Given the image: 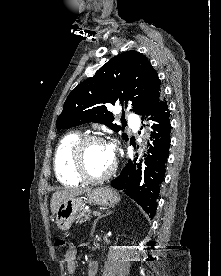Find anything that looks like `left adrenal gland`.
Wrapping results in <instances>:
<instances>
[{
    "label": "left adrenal gland",
    "mask_w": 221,
    "mask_h": 276,
    "mask_svg": "<svg viewBox=\"0 0 221 276\" xmlns=\"http://www.w3.org/2000/svg\"><path fill=\"white\" fill-rule=\"evenodd\" d=\"M111 213H112V211H107V213H106L105 215L99 216V217L94 221L93 229H92V232H91L92 234H93V232H94V230H95L97 221H98L100 218H102V217H105V216H107V215H110Z\"/></svg>",
    "instance_id": "1"
}]
</instances>
